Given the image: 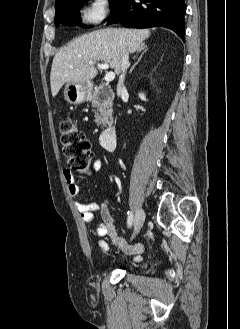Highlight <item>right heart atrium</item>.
Segmentation results:
<instances>
[{
	"label": "right heart atrium",
	"mask_w": 240,
	"mask_h": 329,
	"mask_svg": "<svg viewBox=\"0 0 240 329\" xmlns=\"http://www.w3.org/2000/svg\"><path fill=\"white\" fill-rule=\"evenodd\" d=\"M109 14V0H90L83 11V19L86 24L95 25L103 20Z\"/></svg>",
	"instance_id": "d8ad5b80"
}]
</instances>
